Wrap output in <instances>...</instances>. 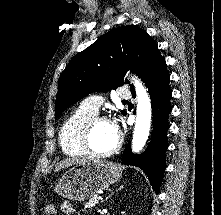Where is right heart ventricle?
<instances>
[{
    "instance_id": "right-heart-ventricle-1",
    "label": "right heart ventricle",
    "mask_w": 221,
    "mask_h": 215,
    "mask_svg": "<svg viewBox=\"0 0 221 215\" xmlns=\"http://www.w3.org/2000/svg\"><path fill=\"white\" fill-rule=\"evenodd\" d=\"M94 113L81 106L77 108L63 123L59 132V142L63 152L68 156H85L82 146V133L87 121Z\"/></svg>"
}]
</instances>
